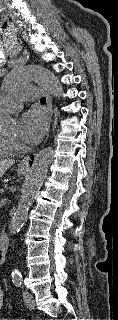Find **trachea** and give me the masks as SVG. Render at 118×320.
I'll return each mask as SVG.
<instances>
[{"mask_svg":"<svg viewBox=\"0 0 118 320\" xmlns=\"http://www.w3.org/2000/svg\"><path fill=\"white\" fill-rule=\"evenodd\" d=\"M40 102H41V103H46V98H41V99H40Z\"/></svg>","mask_w":118,"mask_h":320,"instance_id":"obj_1","label":"trachea"}]
</instances>
